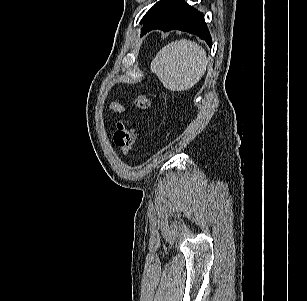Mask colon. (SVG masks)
<instances>
[{
  "instance_id": "obj_1",
  "label": "colon",
  "mask_w": 307,
  "mask_h": 301,
  "mask_svg": "<svg viewBox=\"0 0 307 301\" xmlns=\"http://www.w3.org/2000/svg\"><path fill=\"white\" fill-rule=\"evenodd\" d=\"M134 107L141 114H145L150 106V101L147 95L138 94L134 98ZM136 125L134 121L119 120L116 124V131L114 134V142L121 149L123 154H128L135 142Z\"/></svg>"
}]
</instances>
